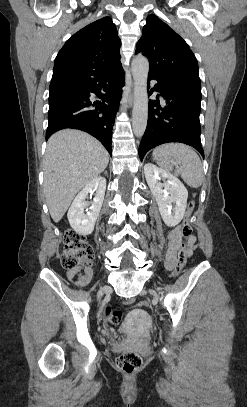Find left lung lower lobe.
<instances>
[{
    "instance_id": "obj_1",
    "label": "left lung lower lobe",
    "mask_w": 247,
    "mask_h": 407,
    "mask_svg": "<svg viewBox=\"0 0 247 407\" xmlns=\"http://www.w3.org/2000/svg\"><path fill=\"white\" fill-rule=\"evenodd\" d=\"M152 79L158 81L153 90L161 92L166 105L160 106L159 95L149 102L148 124L139 146L141 161L150 149L168 142L190 145L204 158L199 122L200 86L148 75V80Z\"/></svg>"
}]
</instances>
